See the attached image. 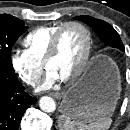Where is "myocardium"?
I'll list each match as a JSON object with an SVG mask.
<instances>
[{
	"label": "myocardium",
	"mask_w": 130,
	"mask_h": 130,
	"mask_svg": "<svg viewBox=\"0 0 130 130\" xmlns=\"http://www.w3.org/2000/svg\"><path fill=\"white\" fill-rule=\"evenodd\" d=\"M71 26L78 27L85 34L86 48H85V52L82 57V60L79 63L78 67L75 69V71L73 73H71L66 78L62 79L64 82H72V81L76 80L84 72V70L89 62V59L91 56V51H92V35H91V32L88 29V27L79 21H68V22L63 23L59 27V29L55 32V34L53 35L49 48H48V51L43 60L44 66L46 67L48 62L56 56V54L58 52V48H59V42H60L61 35L66 28L71 27Z\"/></svg>",
	"instance_id": "obj_1"
}]
</instances>
